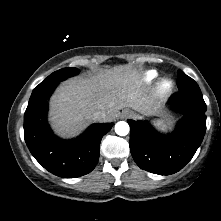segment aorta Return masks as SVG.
<instances>
[{
  "mask_svg": "<svg viewBox=\"0 0 221 221\" xmlns=\"http://www.w3.org/2000/svg\"><path fill=\"white\" fill-rule=\"evenodd\" d=\"M130 131V127L127 122L119 121L115 125V132L119 136H126Z\"/></svg>",
  "mask_w": 221,
  "mask_h": 221,
  "instance_id": "762f6f07",
  "label": "aorta"
}]
</instances>
